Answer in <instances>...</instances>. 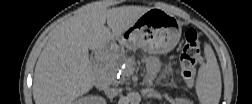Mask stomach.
I'll return each instance as SVG.
<instances>
[{
    "mask_svg": "<svg viewBox=\"0 0 252 104\" xmlns=\"http://www.w3.org/2000/svg\"><path fill=\"white\" fill-rule=\"evenodd\" d=\"M181 33V23L176 17L162 9L152 8L122 33L118 43L113 41L105 50L119 53L124 48L130 51L141 48L146 52L165 54L176 47Z\"/></svg>",
    "mask_w": 252,
    "mask_h": 104,
    "instance_id": "0dacf381",
    "label": "stomach"
}]
</instances>
